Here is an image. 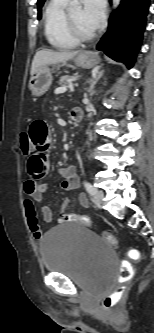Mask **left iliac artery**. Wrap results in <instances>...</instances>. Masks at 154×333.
<instances>
[{
  "label": "left iliac artery",
  "mask_w": 154,
  "mask_h": 333,
  "mask_svg": "<svg viewBox=\"0 0 154 333\" xmlns=\"http://www.w3.org/2000/svg\"><path fill=\"white\" fill-rule=\"evenodd\" d=\"M83 185L89 194L91 195L95 194L96 188L91 183H89L88 181H84Z\"/></svg>",
  "instance_id": "44dca946"
}]
</instances>
